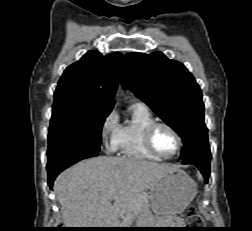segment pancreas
<instances>
[{"mask_svg":"<svg viewBox=\"0 0 252 231\" xmlns=\"http://www.w3.org/2000/svg\"><path fill=\"white\" fill-rule=\"evenodd\" d=\"M136 204H137L138 207L147 206L148 205V195L145 194V193L140 194V196L137 198ZM144 220H145L146 223L151 222V218L145 217ZM123 223H125V222L123 221Z\"/></svg>","mask_w":252,"mask_h":231,"instance_id":"obj_1","label":"pancreas"}]
</instances>
